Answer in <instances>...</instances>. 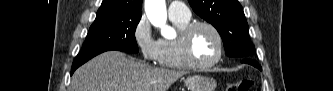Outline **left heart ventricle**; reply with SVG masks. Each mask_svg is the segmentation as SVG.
I'll use <instances>...</instances> for the list:
<instances>
[{"label":"left heart ventricle","mask_w":333,"mask_h":91,"mask_svg":"<svg viewBox=\"0 0 333 91\" xmlns=\"http://www.w3.org/2000/svg\"><path fill=\"white\" fill-rule=\"evenodd\" d=\"M192 50L197 62L213 60L218 54V41L213 32L205 27L197 29L192 40Z\"/></svg>","instance_id":"left-heart-ventricle-1"}]
</instances>
